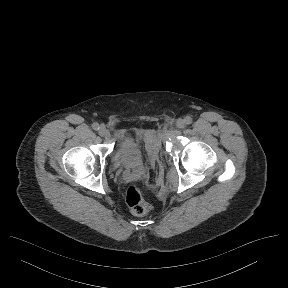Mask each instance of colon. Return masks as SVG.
Segmentation results:
<instances>
[{"mask_svg":"<svg viewBox=\"0 0 288 288\" xmlns=\"http://www.w3.org/2000/svg\"><path fill=\"white\" fill-rule=\"evenodd\" d=\"M126 203L135 215L142 216L150 210V205L145 200L142 189L137 185H131L127 189Z\"/></svg>","mask_w":288,"mask_h":288,"instance_id":"colon-1","label":"colon"}]
</instances>
